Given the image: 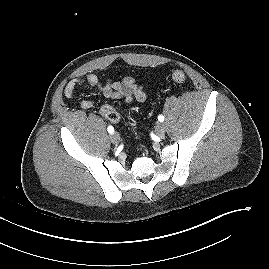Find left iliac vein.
I'll use <instances>...</instances> for the list:
<instances>
[{
	"mask_svg": "<svg viewBox=\"0 0 269 269\" xmlns=\"http://www.w3.org/2000/svg\"><path fill=\"white\" fill-rule=\"evenodd\" d=\"M155 131L159 137H163L165 135V132H166L165 125L163 123H158L156 125Z\"/></svg>",
	"mask_w": 269,
	"mask_h": 269,
	"instance_id": "obj_1",
	"label": "left iliac vein"
}]
</instances>
